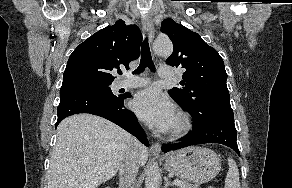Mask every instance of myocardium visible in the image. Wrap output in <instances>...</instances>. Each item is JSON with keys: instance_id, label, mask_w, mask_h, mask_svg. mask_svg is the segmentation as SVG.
<instances>
[{"instance_id": "myocardium-1", "label": "myocardium", "mask_w": 292, "mask_h": 188, "mask_svg": "<svg viewBox=\"0 0 292 188\" xmlns=\"http://www.w3.org/2000/svg\"><path fill=\"white\" fill-rule=\"evenodd\" d=\"M191 128L190 117L184 112H179L176 116V125L170 128L168 135L171 139H178L189 133Z\"/></svg>"}]
</instances>
